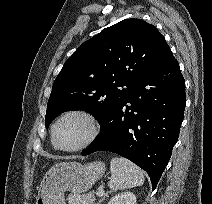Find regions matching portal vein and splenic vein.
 <instances>
[{
    "label": "portal vein and splenic vein",
    "mask_w": 212,
    "mask_h": 204,
    "mask_svg": "<svg viewBox=\"0 0 212 204\" xmlns=\"http://www.w3.org/2000/svg\"><path fill=\"white\" fill-rule=\"evenodd\" d=\"M105 191L103 189H99V191L96 193L97 196H103Z\"/></svg>",
    "instance_id": "18ae733b"
}]
</instances>
